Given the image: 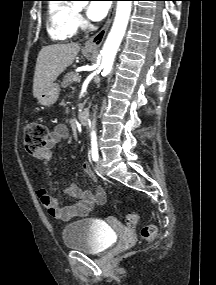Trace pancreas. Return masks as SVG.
<instances>
[{
  "instance_id": "obj_1",
  "label": "pancreas",
  "mask_w": 216,
  "mask_h": 285,
  "mask_svg": "<svg viewBox=\"0 0 216 285\" xmlns=\"http://www.w3.org/2000/svg\"><path fill=\"white\" fill-rule=\"evenodd\" d=\"M77 76V73L75 72H68L64 75V79H63V82H62V87L63 88H66L68 87L69 85H71L73 83V78Z\"/></svg>"
}]
</instances>
